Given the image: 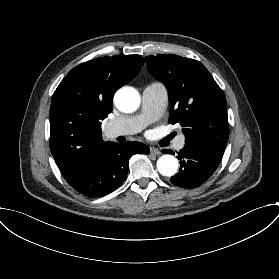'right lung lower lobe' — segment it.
Segmentation results:
<instances>
[{"mask_svg": "<svg viewBox=\"0 0 279 279\" xmlns=\"http://www.w3.org/2000/svg\"><path fill=\"white\" fill-rule=\"evenodd\" d=\"M135 153L148 154L149 148L137 141L110 142L89 168L67 182L89 198L103 197L124 182L129 158Z\"/></svg>", "mask_w": 279, "mask_h": 279, "instance_id": "obj_1", "label": "right lung lower lobe"}]
</instances>
